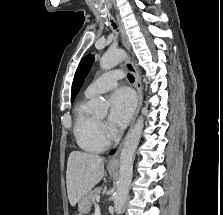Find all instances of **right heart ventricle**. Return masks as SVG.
<instances>
[{
  "label": "right heart ventricle",
  "instance_id": "1",
  "mask_svg": "<svg viewBox=\"0 0 223 215\" xmlns=\"http://www.w3.org/2000/svg\"><path fill=\"white\" fill-rule=\"evenodd\" d=\"M86 105V100H82L75 108L73 135L82 150L100 153L107 149L108 144L101 139L97 118L87 111Z\"/></svg>",
  "mask_w": 223,
  "mask_h": 215
}]
</instances>
